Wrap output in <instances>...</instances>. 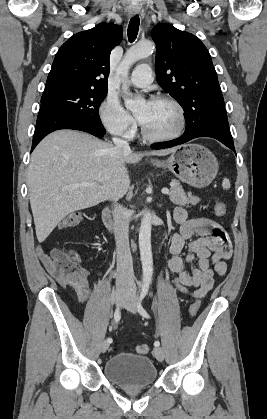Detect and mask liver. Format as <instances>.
Wrapping results in <instances>:
<instances>
[{"label":"liver","mask_w":267,"mask_h":419,"mask_svg":"<svg viewBox=\"0 0 267 419\" xmlns=\"http://www.w3.org/2000/svg\"><path fill=\"white\" fill-rule=\"evenodd\" d=\"M176 148L134 153L89 134L58 130L35 148L28 167V192L36 236L43 242L72 212L122 197L130 178L126 164L145 155L165 156ZM83 182L95 186H81Z\"/></svg>","instance_id":"liver-1"}]
</instances>
